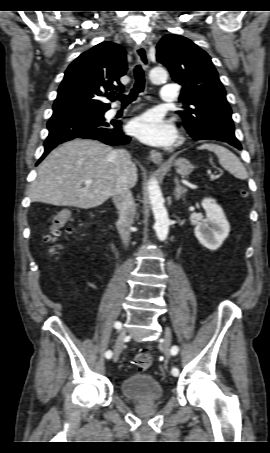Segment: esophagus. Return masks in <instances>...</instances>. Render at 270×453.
Segmentation results:
<instances>
[{
    "instance_id": "1",
    "label": "esophagus",
    "mask_w": 270,
    "mask_h": 453,
    "mask_svg": "<svg viewBox=\"0 0 270 453\" xmlns=\"http://www.w3.org/2000/svg\"><path fill=\"white\" fill-rule=\"evenodd\" d=\"M134 51L139 64L145 69L148 68L149 58L146 47L143 44H137ZM150 158L157 165H161L163 163L162 154L157 150L150 151Z\"/></svg>"
}]
</instances>
